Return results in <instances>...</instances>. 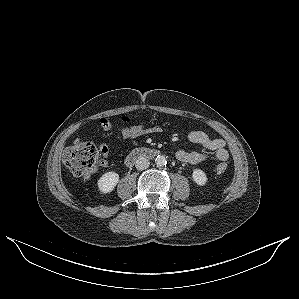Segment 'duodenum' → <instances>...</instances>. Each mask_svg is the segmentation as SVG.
<instances>
[{"label": "duodenum", "mask_w": 299, "mask_h": 299, "mask_svg": "<svg viewBox=\"0 0 299 299\" xmlns=\"http://www.w3.org/2000/svg\"><path fill=\"white\" fill-rule=\"evenodd\" d=\"M159 154V151L152 148H140L132 151L126 158V165L131 167L139 159L143 158H154Z\"/></svg>", "instance_id": "1"}]
</instances>
